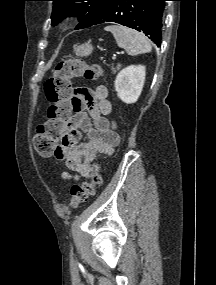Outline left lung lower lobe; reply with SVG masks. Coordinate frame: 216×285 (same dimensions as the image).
<instances>
[{
  "label": "left lung lower lobe",
  "instance_id": "left-lung-lower-lobe-1",
  "mask_svg": "<svg viewBox=\"0 0 216 285\" xmlns=\"http://www.w3.org/2000/svg\"><path fill=\"white\" fill-rule=\"evenodd\" d=\"M165 1L167 0H112L93 25L119 23L144 32L160 46Z\"/></svg>",
  "mask_w": 216,
  "mask_h": 285
}]
</instances>
